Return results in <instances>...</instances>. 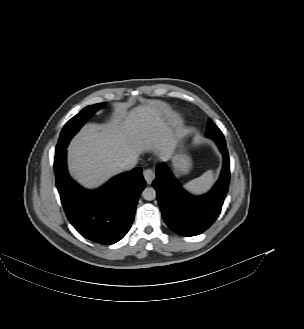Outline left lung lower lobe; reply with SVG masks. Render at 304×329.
Listing matches in <instances>:
<instances>
[{
    "label": "left lung lower lobe",
    "mask_w": 304,
    "mask_h": 329,
    "mask_svg": "<svg viewBox=\"0 0 304 329\" xmlns=\"http://www.w3.org/2000/svg\"><path fill=\"white\" fill-rule=\"evenodd\" d=\"M205 135L216 142L224 159L219 180L208 193L203 196L190 195L163 163L157 166L153 181L165 223L183 236H195L208 229L220 214L228 191L230 169L224 136L215 124Z\"/></svg>",
    "instance_id": "1"
}]
</instances>
